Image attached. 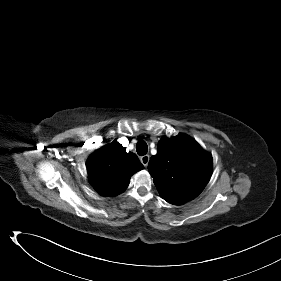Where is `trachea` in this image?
<instances>
[{"instance_id":"obj_1","label":"trachea","mask_w":281,"mask_h":281,"mask_svg":"<svg viewBox=\"0 0 281 281\" xmlns=\"http://www.w3.org/2000/svg\"><path fill=\"white\" fill-rule=\"evenodd\" d=\"M136 151L138 155L143 156L147 153L148 151V146L145 141L141 140L137 143L136 145Z\"/></svg>"}]
</instances>
